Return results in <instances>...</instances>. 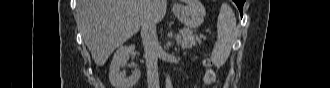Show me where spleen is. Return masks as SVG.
<instances>
[{
	"instance_id": "spleen-1",
	"label": "spleen",
	"mask_w": 330,
	"mask_h": 88,
	"mask_svg": "<svg viewBox=\"0 0 330 88\" xmlns=\"http://www.w3.org/2000/svg\"><path fill=\"white\" fill-rule=\"evenodd\" d=\"M218 39L212 51V62L217 67L222 66L227 61L232 45L238 39L236 18L231 7L223 3L217 21Z\"/></svg>"
}]
</instances>
